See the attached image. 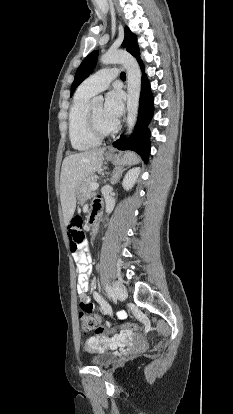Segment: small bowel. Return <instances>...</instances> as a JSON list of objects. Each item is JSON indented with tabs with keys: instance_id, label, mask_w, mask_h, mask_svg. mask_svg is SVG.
<instances>
[{
	"instance_id": "1",
	"label": "small bowel",
	"mask_w": 233,
	"mask_h": 414,
	"mask_svg": "<svg viewBox=\"0 0 233 414\" xmlns=\"http://www.w3.org/2000/svg\"><path fill=\"white\" fill-rule=\"evenodd\" d=\"M82 251L83 252H87L88 248L86 247V244L84 243L82 246ZM73 257L75 259L74 262V267L77 269L78 272V285H77V290H78V294L80 295L81 298H86L87 297V292L91 291L95 300L98 302L99 304V309H101L103 312H110L113 310V305L112 304H106L105 300L102 298L101 295H99L96 292V286L95 284H90L89 283V275L91 273V259L89 256H86L84 254L79 255L75 252H73ZM89 300V299H88ZM118 318H123L125 316L124 312H118L117 314Z\"/></svg>"
}]
</instances>
